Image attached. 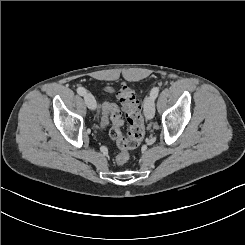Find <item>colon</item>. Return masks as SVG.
Here are the masks:
<instances>
[{"label": "colon", "instance_id": "colon-1", "mask_svg": "<svg viewBox=\"0 0 245 245\" xmlns=\"http://www.w3.org/2000/svg\"><path fill=\"white\" fill-rule=\"evenodd\" d=\"M117 98L128 122L127 136H123L121 132L123 125L121 112L113 103L103 105L102 125L104 127L111 125L109 136L120 149L116 162L118 165H123L129 160L128 151L137 148L143 141L145 126L141 105L135 96L133 87L126 83L122 84L117 92Z\"/></svg>", "mask_w": 245, "mask_h": 245}]
</instances>
